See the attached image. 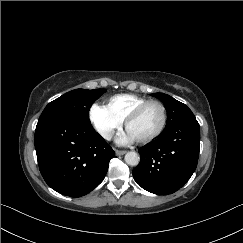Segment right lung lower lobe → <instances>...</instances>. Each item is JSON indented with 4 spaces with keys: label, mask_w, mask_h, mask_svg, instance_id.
Segmentation results:
<instances>
[{
    "label": "right lung lower lobe",
    "mask_w": 243,
    "mask_h": 243,
    "mask_svg": "<svg viewBox=\"0 0 243 243\" xmlns=\"http://www.w3.org/2000/svg\"><path fill=\"white\" fill-rule=\"evenodd\" d=\"M35 149L46 183L71 197L83 196L97 187L115 156L91 123L63 118L37 124Z\"/></svg>",
    "instance_id": "1"
}]
</instances>
